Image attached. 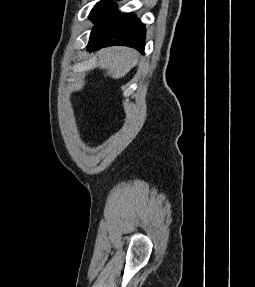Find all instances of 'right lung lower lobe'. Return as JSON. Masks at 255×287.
I'll list each match as a JSON object with an SVG mask.
<instances>
[{
  "instance_id": "1",
  "label": "right lung lower lobe",
  "mask_w": 255,
  "mask_h": 287,
  "mask_svg": "<svg viewBox=\"0 0 255 287\" xmlns=\"http://www.w3.org/2000/svg\"><path fill=\"white\" fill-rule=\"evenodd\" d=\"M112 45L133 47L143 53L145 27L133 13L120 14L119 12L94 26L88 48L93 51Z\"/></svg>"
}]
</instances>
